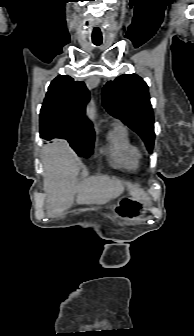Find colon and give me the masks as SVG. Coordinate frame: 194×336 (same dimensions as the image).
Returning <instances> with one entry per match:
<instances>
[{"label": "colon", "instance_id": "obj_1", "mask_svg": "<svg viewBox=\"0 0 194 336\" xmlns=\"http://www.w3.org/2000/svg\"><path fill=\"white\" fill-rule=\"evenodd\" d=\"M137 207H138V204L136 202L127 201L122 206V210H132V209L137 208Z\"/></svg>", "mask_w": 194, "mask_h": 336}]
</instances>
